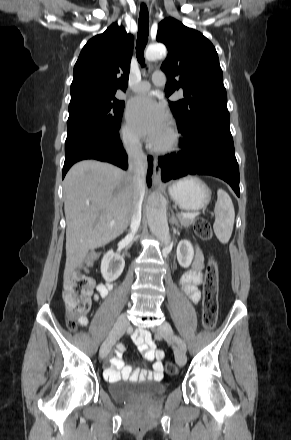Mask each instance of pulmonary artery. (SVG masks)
Wrapping results in <instances>:
<instances>
[{"instance_id": "e3ab8cb5", "label": "pulmonary artery", "mask_w": 291, "mask_h": 440, "mask_svg": "<svg viewBox=\"0 0 291 440\" xmlns=\"http://www.w3.org/2000/svg\"><path fill=\"white\" fill-rule=\"evenodd\" d=\"M167 82L166 76L159 72L152 75V78L150 81L142 80L139 81L134 87L133 91L136 93H144L147 92L151 88V84H154L156 86H163Z\"/></svg>"}]
</instances>
